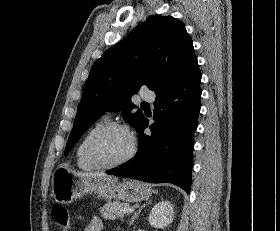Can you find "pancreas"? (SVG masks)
Here are the masks:
<instances>
[{
	"instance_id": "cf45deb5",
	"label": "pancreas",
	"mask_w": 280,
	"mask_h": 231,
	"mask_svg": "<svg viewBox=\"0 0 280 231\" xmlns=\"http://www.w3.org/2000/svg\"><path fill=\"white\" fill-rule=\"evenodd\" d=\"M129 203H120V201H108L103 207H100V213L105 219H116V217H124L128 213L122 211L123 207H128Z\"/></svg>"
}]
</instances>
